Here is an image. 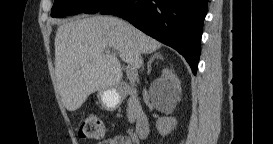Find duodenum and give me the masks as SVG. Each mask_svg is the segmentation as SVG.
Masks as SVG:
<instances>
[{"instance_id":"duodenum-1","label":"duodenum","mask_w":273,"mask_h":144,"mask_svg":"<svg viewBox=\"0 0 273 144\" xmlns=\"http://www.w3.org/2000/svg\"><path fill=\"white\" fill-rule=\"evenodd\" d=\"M118 91L121 94H127L134 96V111L136 114V120H135V134L139 139H145L148 137L150 132V122L147 114L142 109V106L140 105L139 101L137 100L136 91L134 88L128 84H121L118 88Z\"/></svg>"}]
</instances>
